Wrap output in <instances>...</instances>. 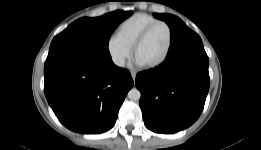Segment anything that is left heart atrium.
I'll return each instance as SVG.
<instances>
[{"label":"left heart atrium","mask_w":261,"mask_h":150,"mask_svg":"<svg viewBox=\"0 0 261 150\" xmlns=\"http://www.w3.org/2000/svg\"><path fill=\"white\" fill-rule=\"evenodd\" d=\"M134 62L137 66H144V64L137 58H135Z\"/></svg>","instance_id":"1"}]
</instances>
